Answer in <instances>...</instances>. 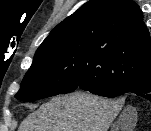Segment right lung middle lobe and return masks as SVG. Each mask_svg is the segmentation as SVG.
<instances>
[{
    "mask_svg": "<svg viewBox=\"0 0 151 131\" xmlns=\"http://www.w3.org/2000/svg\"><path fill=\"white\" fill-rule=\"evenodd\" d=\"M85 81L106 84L94 58L88 56L77 44L62 42L37 49L15 97L22 101H34L70 93Z\"/></svg>",
    "mask_w": 151,
    "mask_h": 131,
    "instance_id": "obj_1",
    "label": "right lung middle lobe"
}]
</instances>
